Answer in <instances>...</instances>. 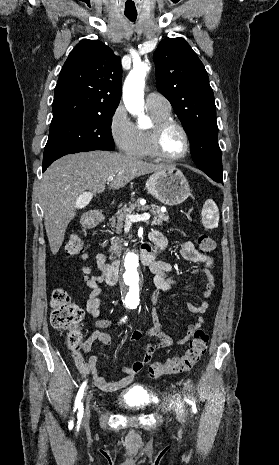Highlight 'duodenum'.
<instances>
[{
	"instance_id": "1",
	"label": "duodenum",
	"mask_w": 279,
	"mask_h": 465,
	"mask_svg": "<svg viewBox=\"0 0 279 465\" xmlns=\"http://www.w3.org/2000/svg\"><path fill=\"white\" fill-rule=\"evenodd\" d=\"M105 216L99 212L93 215H89L85 219V225L89 228L97 226L104 220ZM156 256V251L153 249L151 244L143 243L140 247V259L144 265H151ZM119 260H115L109 268L107 282L109 285H115L119 280Z\"/></svg>"
}]
</instances>
